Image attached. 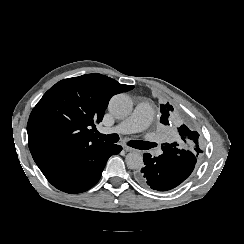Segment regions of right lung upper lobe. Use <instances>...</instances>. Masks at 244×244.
<instances>
[{
    "label": "right lung upper lobe",
    "mask_w": 244,
    "mask_h": 244,
    "mask_svg": "<svg viewBox=\"0 0 244 244\" xmlns=\"http://www.w3.org/2000/svg\"><path fill=\"white\" fill-rule=\"evenodd\" d=\"M133 88L98 73L56 83L32 110L27 124L36 164L106 143L96 137L95 123L102 121L113 95Z\"/></svg>",
    "instance_id": "right-lung-upper-lobe-1"
}]
</instances>
